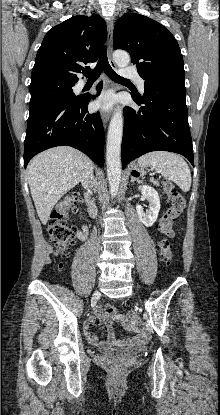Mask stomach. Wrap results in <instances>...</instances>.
<instances>
[{"label":"stomach","instance_id":"0dacf381","mask_svg":"<svg viewBox=\"0 0 220 415\" xmlns=\"http://www.w3.org/2000/svg\"><path fill=\"white\" fill-rule=\"evenodd\" d=\"M134 170L137 171V172H140L141 171V169H140V167L138 165H135L134 166Z\"/></svg>","mask_w":220,"mask_h":415}]
</instances>
